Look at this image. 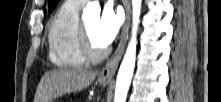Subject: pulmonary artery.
Wrapping results in <instances>:
<instances>
[{
	"instance_id": "obj_1",
	"label": "pulmonary artery",
	"mask_w": 221,
	"mask_h": 102,
	"mask_svg": "<svg viewBox=\"0 0 221 102\" xmlns=\"http://www.w3.org/2000/svg\"><path fill=\"white\" fill-rule=\"evenodd\" d=\"M73 1H76L77 3H80V4H85L88 0H73Z\"/></svg>"
}]
</instances>
